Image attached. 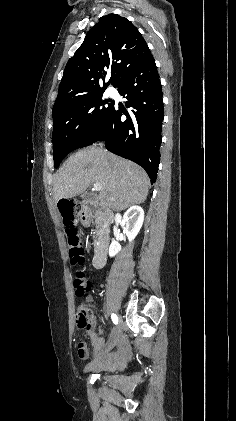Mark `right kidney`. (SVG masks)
<instances>
[{
    "instance_id": "ca27d5eb",
    "label": "right kidney",
    "mask_w": 236,
    "mask_h": 421,
    "mask_svg": "<svg viewBox=\"0 0 236 421\" xmlns=\"http://www.w3.org/2000/svg\"><path fill=\"white\" fill-rule=\"evenodd\" d=\"M124 221V229L125 233L128 237V241H133L135 237H137L144 221V211L142 206H138V204H134V206H130L128 211L123 215ZM121 251V245L117 243V241H112L109 247V257H115L117 253Z\"/></svg>"
}]
</instances>
